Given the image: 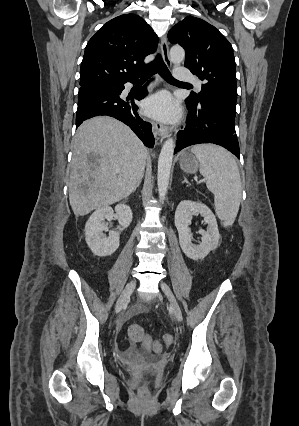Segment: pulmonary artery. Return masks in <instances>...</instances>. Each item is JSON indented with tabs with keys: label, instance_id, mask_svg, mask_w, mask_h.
I'll return each mask as SVG.
<instances>
[{
	"label": "pulmonary artery",
	"instance_id": "1",
	"mask_svg": "<svg viewBox=\"0 0 299 426\" xmlns=\"http://www.w3.org/2000/svg\"><path fill=\"white\" fill-rule=\"evenodd\" d=\"M174 76L177 80L181 81H192L195 83V86L200 89L201 84L199 81L195 80L192 76L188 75L186 69L183 67H176L174 70Z\"/></svg>",
	"mask_w": 299,
	"mask_h": 426
}]
</instances>
